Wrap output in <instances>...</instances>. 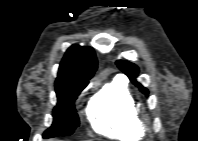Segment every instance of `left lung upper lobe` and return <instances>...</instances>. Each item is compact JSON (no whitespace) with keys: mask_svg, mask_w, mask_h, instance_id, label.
<instances>
[{"mask_svg":"<svg viewBox=\"0 0 198 141\" xmlns=\"http://www.w3.org/2000/svg\"><path fill=\"white\" fill-rule=\"evenodd\" d=\"M116 64L118 65L119 69L123 71L137 87L140 88L141 92H143L145 95H148V90L136 81V77L138 76L139 72V69L136 65L122 60H118Z\"/></svg>","mask_w":198,"mask_h":141,"instance_id":"5c2ea615","label":"left lung upper lobe"}]
</instances>
